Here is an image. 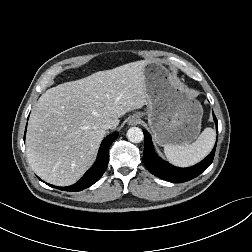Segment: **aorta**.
Returning <instances> with one entry per match:
<instances>
[{
	"label": "aorta",
	"mask_w": 252,
	"mask_h": 252,
	"mask_svg": "<svg viewBox=\"0 0 252 252\" xmlns=\"http://www.w3.org/2000/svg\"><path fill=\"white\" fill-rule=\"evenodd\" d=\"M127 138L132 143H140L144 139L143 131L138 127H132L127 131Z\"/></svg>",
	"instance_id": "aorta-1"
}]
</instances>
